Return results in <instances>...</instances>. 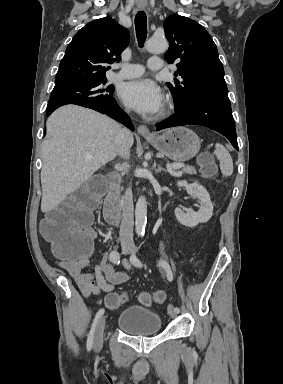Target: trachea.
I'll use <instances>...</instances> for the list:
<instances>
[{"label": "trachea", "mask_w": 283, "mask_h": 384, "mask_svg": "<svg viewBox=\"0 0 283 384\" xmlns=\"http://www.w3.org/2000/svg\"><path fill=\"white\" fill-rule=\"evenodd\" d=\"M135 30L139 47L144 46L147 37V17L146 13L138 12L135 15Z\"/></svg>", "instance_id": "obj_1"}]
</instances>
